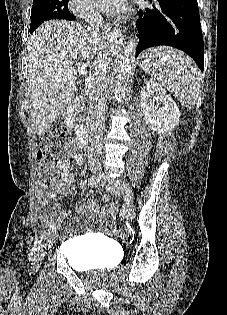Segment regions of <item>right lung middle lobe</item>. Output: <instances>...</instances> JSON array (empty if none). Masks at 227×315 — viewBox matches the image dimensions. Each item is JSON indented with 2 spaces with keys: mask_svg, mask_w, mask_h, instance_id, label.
I'll list each match as a JSON object with an SVG mask.
<instances>
[{
  "mask_svg": "<svg viewBox=\"0 0 227 315\" xmlns=\"http://www.w3.org/2000/svg\"><path fill=\"white\" fill-rule=\"evenodd\" d=\"M52 19L73 20L68 10V0H33L30 33L44 21Z\"/></svg>",
  "mask_w": 227,
  "mask_h": 315,
  "instance_id": "right-lung-middle-lobe-1",
  "label": "right lung middle lobe"
}]
</instances>
